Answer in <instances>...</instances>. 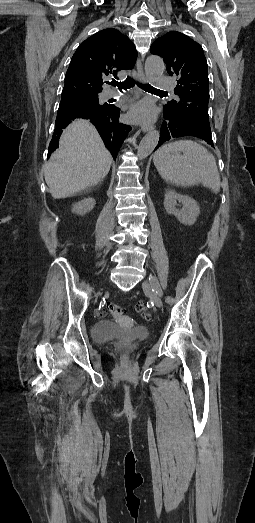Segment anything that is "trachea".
<instances>
[{"label": "trachea", "mask_w": 255, "mask_h": 523, "mask_svg": "<svg viewBox=\"0 0 255 523\" xmlns=\"http://www.w3.org/2000/svg\"><path fill=\"white\" fill-rule=\"evenodd\" d=\"M135 83H136L135 80L129 76L126 78V80H124V82H116V80H113L111 82V85L117 86L119 88V90H127V88L134 87ZM137 85L149 93H152V92L167 93V92H164V90H159L158 88H154L151 85H142V83H138V82H137Z\"/></svg>", "instance_id": "obj_1"}]
</instances>
